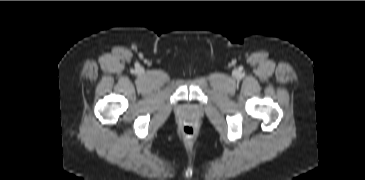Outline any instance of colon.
I'll use <instances>...</instances> for the list:
<instances>
[{
	"label": "colon",
	"instance_id": "1",
	"mask_svg": "<svg viewBox=\"0 0 365 180\" xmlns=\"http://www.w3.org/2000/svg\"><path fill=\"white\" fill-rule=\"evenodd\" d=\"M183 132L186 136H191L193 134V128L191 126H185Z\"/></svg>",
	"mask_w": 365,
	"mask_h": 180
}]
</instances>
